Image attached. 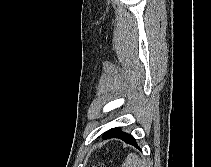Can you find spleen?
<instances>
[{
	"instance_id": "3e777b00",
	"label": "spleen",
	"mask_w": 211,
	"mask_h": 167,
	"mask_svg": "<svg viewBox=\"0 0 211 167\" xmlns=\"http://www.w3.org/2000/svg\"><path fill=\"white\" fill-rule=\"evenodd\" d=\"M122 167H148L145 160L140 159L135 153L128 154Z\"/></svg>"
}]
</instances>
